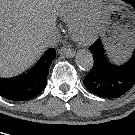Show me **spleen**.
<instances>
[{
  "mask_svg": "<svg viewBox=\"0 0 135 135\" xmlns=\"http://www.w3.org/2000/svg\"><path fill=\"white\" fill-rule=\"evenodd\" d=\"M128 53H125V52H119L117 53L116 57L119 59V60H122V59H125L126 55Z\"/></svg>",
  "mask_w": 135,
  "mask_h": 135,
  "instance_id": "obj_1",
  "label": "spleen"
}]
</instances>
